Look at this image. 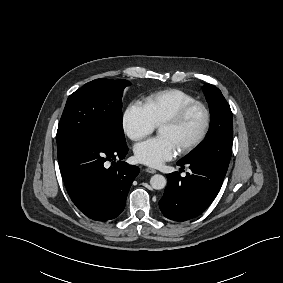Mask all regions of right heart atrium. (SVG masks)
<instances>
[{"label":"right heart atrium","mask_w":283,"mask_h":283,"mask_svg":"<svg viewBox=\"0 0 283 283\" xmlns=\"http://www.w3.org/2000/svg\"><path fill=\"white\" fill-rule=\"evenodd\" d=\"M125 134L133 141L149 135L156 127L145 105L139 100L130 102L122 116Z\"/></svg>","instance_id":"obj_1"}]
</instances>
